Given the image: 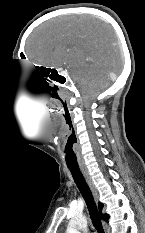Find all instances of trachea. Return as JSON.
<instances>
[{"label":"trachea","mask_w":145,"mask_h":233,"mask_svg":"<svg viewBox=\"0 0 145 233\" xmlns=\"http://www.w3.org/2000/svg\"><path fill=\"white\" fill-rule=\"evenodd\" d=\"M68 168L73 176V179L78 189L80 190L86 202L90 214V218L92 220L94 227L96 228L98 233H104L96 203L94 201L91 190L88 184L86 183V180L84 179L82 172L80 171L79 168H70V167Z\"/></svg>","instance_id":"obj_1"}]
</instances>
